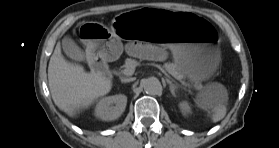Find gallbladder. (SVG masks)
I'll return each instance as SVG.
<instances>
[{
  "label": "gallbladder",
  "mask_w": 279,
  "mask_h": 148,
  "mask_svg": "<svg viewBox=\"0 0 279 148\" xmlns=\"http://www.w3.org/2000/svg\"><path fill=\"white\" fill-rule=\"evenodd\" d=\"M62 48L65 54L71 59L76 61H85L84 51L76 44V42L70 36H65L63 38Z\"/></svg>",
  "instance_id": "obj_1"
}]
</instances>
